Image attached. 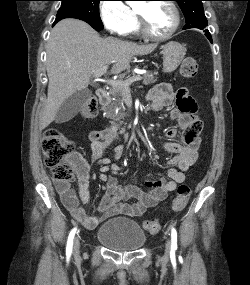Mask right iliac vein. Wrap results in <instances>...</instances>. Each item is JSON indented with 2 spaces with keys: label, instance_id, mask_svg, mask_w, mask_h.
<instances>
[{
  "label": "right iliac vein",
  "instance_id": "obj_1",
  "mask_svg": "<svg viewBox=\"0 0 250 285\" xmlns=\"http://www.w3.org/2000/svg\"><path fill=\"white\" fill-rule=\"evenodd\" d=\"M79 250H80V241H79V237H76L74 240V253H75V255L79 254Z\"/></svg>",
  "mask_w": 250,
  "mask_h": 285
}]
</instances>
